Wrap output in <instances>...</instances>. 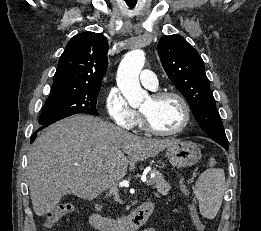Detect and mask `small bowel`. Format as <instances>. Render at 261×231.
Returning <instances> with one entry per match:
<instances>
[{"mask_svg":"<svg viewBox=\"0 0 261 231\" xmlns=\"http://www.w3.org/2000/svg\"><path fill=\"white\" fill-rule=\"evenodd\" d=\"M181 190H182L184 195L188 194V190L185 187H181ZM143 231H156V230L154 228H146Z\"/></svg>","mask_w":261,"mask_h":231,"instance_id":"obj_1","label":"small bowel"}]
</instances>
